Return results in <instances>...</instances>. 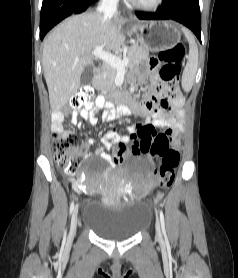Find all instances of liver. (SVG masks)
I'll use <instances>...</instances> for the list:
<instances>
[{
	"mask_svg": "<svg viewBox=\"0 0 238 278\" xmlns=\"http://www.w3.org/2000/svg\"><path fill=\"white\" fill-rule=\"evenodd\" d=\"M126 19L89 12L60 23L45 39L42 53L44 77L53 112L59 111L80 86L81 74L93 63L91 52L98 46L117 50L126 36L121 26Z\"/></svg>",
	"mask_w": 238,
	"mask_h": 278,
	"instance_id": "liver-1",
	"label": "liver"
}]
</instances>
